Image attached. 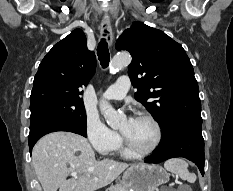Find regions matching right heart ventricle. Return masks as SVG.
<instances>
[{
	"instance_id": "obj_1",
	"label": "right heart ventricle",
	"mask_w": 233,
	"mask_h": 191,
	"mask_svg": "<svg viewBox=\"0 0 233 191\" xmlns=\"http://www.w3.org/2000/svg\"><path fill=\"white\" fill-rule=\"evenodd\" d=\"M121 153L123 156L127 157V158H133L136 157V155L132 154L131 152H129L127 149H122Z\"/></svg>"
}]
</instances>
